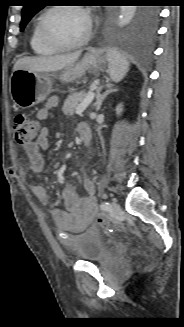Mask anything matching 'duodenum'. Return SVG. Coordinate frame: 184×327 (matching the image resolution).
I'll use <instances>...</instances> for the list:
<instances>
[{"instance_id":"obj_1","label":"duodenum","mask_w":184,"mask_h":327,"mask_svg":"<svg viewBox=\"0 0 184 327\" xmlns=\"http://www.w3.org/2000/svg\"><path fill=\"white\" fill-rule=\"evenodd\" d=\"M80 137L82 139L83 142H87L89 139V128L87 125L85 124H81L80 125Z\"/></svg>"}]
</instances>
